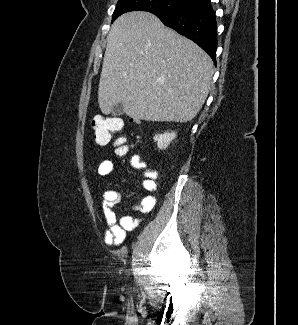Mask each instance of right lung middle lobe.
<instances>
[{"label":"right lung middle lobe","instance_id":"dd1d6c3e","mask_svg":"<svg viewBox=\"0 0 298 325\" xmlns=\"http://www.w3.org/2000/svg\"><path fill=\"white\" fill-rule=\"evenodd\" d=\"M193 0H119L113 13L112 22L129 11L171 12L182 8Z\"/></svg>","mask_w":298,"mask_h":325}]
</instances>
